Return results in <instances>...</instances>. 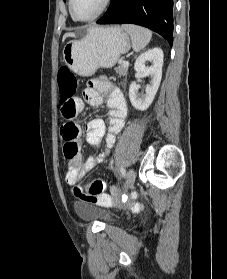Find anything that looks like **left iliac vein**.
<instances>
[{
	"label": "left iliac vein",
	"instance_id": "left-iliac-vein-1",
	"mask_svg": "<svg viewBox=\"0 0 227 279\" xmlns=\"http://www.w3.org/2000/svg\"><path fill=\"white\" fill-rule=\"evenodd\" d=\"M135 178H136L135 171L133 169H129L122 192H126L133 186V184L135 182Z\"/></svg>",
	"mask_w": 227,
	"mask_h": 279
}]
</instances>
